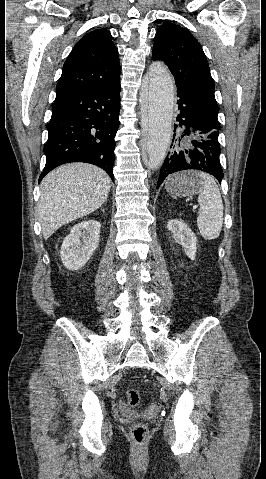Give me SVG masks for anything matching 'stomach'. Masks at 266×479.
Instances as JSON below:
<instances>
[{"instance_id":"0dacf381","label":"stomach","mask_w":266,"mask_h":479,"mask_svg":"<svg viewBox=\"0 0 266 479\" xmlns=\"http://www.w3.org/2000/svg\"><path fill=\"white\" fill-rule=\"evenodd\" d=\"M202 187L203 180L195 171L174 174L166 182V190L174 196L191 197Z\"/></svg>"}]
</instances>
